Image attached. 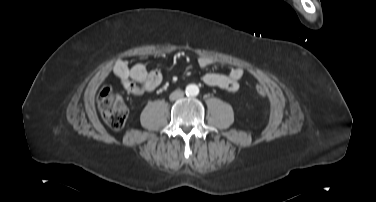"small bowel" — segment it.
<instances>
[{"label":"small bowel","mask_w":376,"mask_h":202,"mask_svg":"<svg viewBox=\"0 0 376 202\" xmlns=\"http://www.w3.org/2000/svg\"><path fill=\"white\" fill-rule=\"evenodd\" d=\"M198 63L201 67H210L218 64H227L211 57H200ZM113 73L120 82L121 86L131 95L140 96L145 92L155 90L162 82V73L160 70H149L144 64H129L119 59L115 62ZM243 76V69L234 66L227 74L206 73L202 80L212 87H219L228 91H236L239 88V82Z\"/></svg>","instance_id":"1"}]
</instances>
